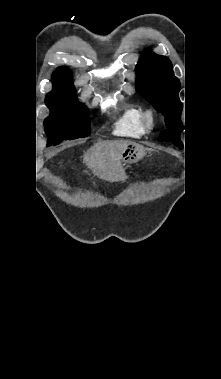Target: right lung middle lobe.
Listing matches in <instances>:
<instances>
[{"label": "right lung middle lobe", "instance_id": "obj_1", "mask_svg": "<svg viewBox=\"0 0 221 379\" xmlns=\"http://www.w3.org/2000/svg\"><path fill=\"white\" fill-rule=\"evenodd\" d=\"M51 111L44 121L48 134L47 146L64 139H77L90 134L87 108L78 101H45Z\"/></svg>", "mask_w": 221, "mask_h": 379}]
</instances>
